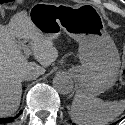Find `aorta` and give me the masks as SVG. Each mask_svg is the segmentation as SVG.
<instances>
[{"instance_id": "762f6f07", "label": "aorta", "mask_w": 125, "mask_h": 125, "mask_svg": "<svg viewBox=\"0 0 125 125\" xmlns=\"http://www.w3.org/2000/svg\"><path fill=\"white\" fill-rule=\"evenodd\" d=\"M53 87L58 93L66 95L73 90L74 86L72 79L68 75L60 73L54 77Z\"/></svg>"}]
</instances>
